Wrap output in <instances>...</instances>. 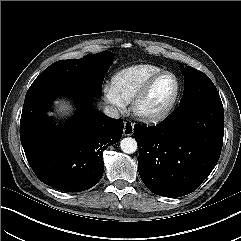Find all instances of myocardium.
I'll return each instance as SVG.
<instances>
[{
    "instance_id": "myocardium-1",
    "label": "myocardium",
    "mask_w": 241,
    "mask_h": 241,
    "mask_svg": "<svg viewBox=\"0 0 241 241\" xmlns=\"http://www.w3.org/2000/svg\"><path fill=\"white\" fill-rule=\"evenodd\" d=\"M164 76H171L175 80V92L172 98L160 109L156 111H146L142 105L150 93L155 83ZM181 91V84L176 74L171 71L163 70L152 76L138 91L133 100L131 101V111L135 118L144 123L152 124L158 123L166 119L173 111L179 99Z\"/></svg>"
}]
</instances>
